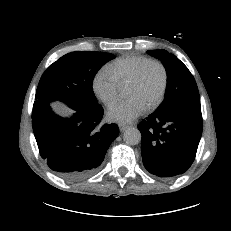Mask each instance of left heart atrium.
Listing matches in <instances>:
<instances>
[{
	"label": "left heart atrium",
	"mask_w": 231,
	"mask_h": 231,
	"mask_svg": "<svg viewBox=\"0 0 231 231\" xmlns=\"http://www.w3.org/2000/svg\"><path fill=\"white\" fill-rule=\"evenodd\" d=\"M145 110L146 107L141 101L130 98L111 104L107 111V118L111 122L126 124L143 114Z\"/></svg>",
	"instance_id": "obj_1"
}]
</instances>
